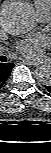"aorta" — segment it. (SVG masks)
Returning a JSON list of instances; mask_svg holds the SVG:
<instances>
[{
	"instance_id": "762f6f07",
	"label": "aorta",
	"mask_w": 51,
	"mask_h": 153,
	"mask_svg": "<svg viewBox=\"0 0 51 153\" xmlns=\"http://www.w3.org/2000/svg\"><path fill=\"white\" fill-rule=\"evenodd\" d=\"M1 22L3 29L11 35H25L31 33L36 27V13L34 7L26 0H16L2 11ZM34 75L43 85L51 84V65H39Z\"/></svg>"
}]
</instances>
